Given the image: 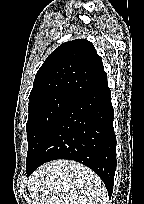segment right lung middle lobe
Wrapping results in <instances>:
<instances>
[{
    "label": "right lung middle lobe",
    "mask_w": 144,
    "mask_h": 204,
    "mask_svg": "<svg viewBox=\"0 0 144 204\" xmlns=\"http://www.w3.org/2000/svg\"><path fill=\"white\" fill-rule=\"evenodd\" d=\"M71 94H59L28 107L26 125L28 152L26 167H30L61 115L74 99Z\"/></svg>",
    "instance_id": "dd1d6c3e"
}]
</instances>
